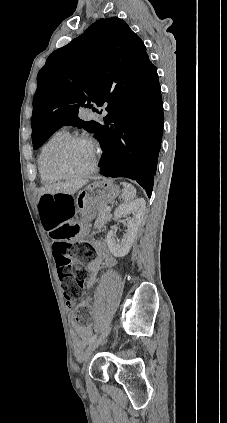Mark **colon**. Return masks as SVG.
Here are the masks:
<instances>
[{
  "instance_id": "1",
  "label": "colon",
  "mask_w": 227,
  "mask_h": 423,
  "mask_svg": "<svg viewBox=\"0 0 227 423\" xmlns=\"http://www.w3.org/2000/svg\"><path fill=\"white\" fill-rule=\"evenodd\" d=\"M41 219L45 228L55 229L62 223L66 225L56 231L53 244V256L56 261L66 301H76L82 295V288L87 279V270L81 263H89L95 255L87 242L70 243L76 229L71 223L74 206L71 199L61 193H47L39 204ZM73 257L81 263L74 264ZM92 308L88 301L81 302L75 309L73 318L80 326H91Z\"/></svg>"
}]
</instances>
